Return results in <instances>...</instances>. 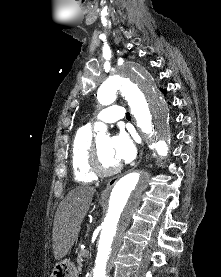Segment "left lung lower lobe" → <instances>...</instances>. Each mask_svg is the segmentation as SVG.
Returning <instances> with one entry per match:
<instances>
[{"mask_svg": "<svg viewBox=\"0 0 221 277\" xmlns=\"http://www.w3.org/2000/svg\"><path fill=\"white\" fill-rule=\"evenodd\" d=\"M163 91V93L166 95V90H162Z\"/></svg>", "mask_w": 221, "mask_h": 277, "instance_id": "obj_1", "label": "left lung lower lobe"}]
</instances>
